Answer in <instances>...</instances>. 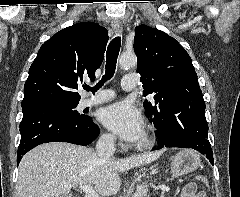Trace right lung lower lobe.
Returning a JSON list of instances; mask_svg holds the SVG:
<instances>
[{
  "instance_id": "1",
  "label": "right lung lower lobe",
  "mask_w": 240,
  "mask_h": 197,
  "mask_svg": "<svg viewBox=\"0 0 240 197\" xmlns=\"http://www.w3.org/2000/svg\"><path fill=\"white\" fill-rule=\"evenodd\" d=\"M22 111L17 165L22 156L37 145L69 142L86 146L99 135V127L89 116H86V121L77 122L57 109L41 105L28 106Z\"/></svg>"
}]
</instances>
